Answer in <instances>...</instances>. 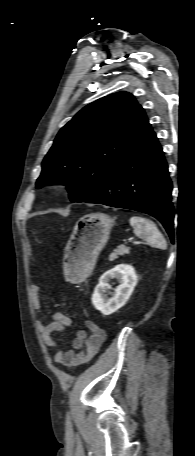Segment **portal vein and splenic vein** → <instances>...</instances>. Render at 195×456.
Here are the masks:
<instances>
[{
	"label": "portal vein and splenic vein",
	"mask_w": 195,
	"mask_h": 456,
	"mask_svg": "<svg viewBox=\"0 0 195 456\" xmlns=\"http://www.w3.org/2000/svg\"><path fill=\"white\" fill-rule=\"evenodd\" d=\"M128 243H133V244H134V243H136V242H135V241H131V240H130V241H128Z\"/></svg>",
	"instance_id": "portal-vein-and-splenic-vein-1"
}]
</instances>
